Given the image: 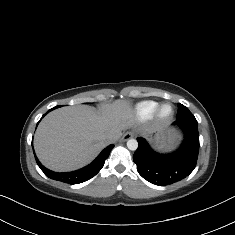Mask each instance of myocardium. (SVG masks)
<instances>
[{
    "mask_svg": "<svg viewBox=\"0 0 235 235\" xmlns=\"http://www.w3.org/2000/svg\"><path fill=\"white\" fill-rule=\"evenodd\" d=\"M166 105H171L172 107V113L169 117H164L161 113L162 108ZM153 117H154V120L160 124L170 123L175 117V106L169 101L162 102L157 105L154 111Z\"/></svg>",
    "mask_w": 235,
    "mask_h": 235,
    "instance_id": "1",
    "label": "myocardium"
}]
</instances>
